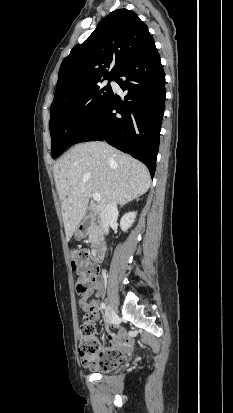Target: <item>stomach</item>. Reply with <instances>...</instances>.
<instances>
[{
    "instance_id": "1",
    "label": "stomach",
    "mask_w": 233,
    "mask_h": 413,
    "mask_svg": "<svg viewBox=\"0 0 233 413\" xmlns=\"http://www.w3.org/2000/svg\"><path fill=\"white\" fill-rule=\"evenodd\" d=\"M75 236H76L77 239H79V238L84 236V233L80 232V231H76Z\"/></svg>"
}]
</instances>
